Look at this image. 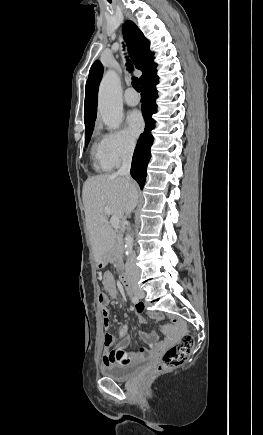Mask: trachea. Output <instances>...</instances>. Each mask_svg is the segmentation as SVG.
Instances as JSON below:
<instances>
[{"mask_svg":"<svg viewBox=\"0 0 263 435\" xmlns=\"http://www.w3.org/2000/svg\"><path fill=\"white\" fill-rule=\"evenodd\" d=\"M126 66H127V70L130 72V73H132L133 72V65H132V63L128 60L127 61V63H126ZM132 86H133V88L137 91V92H140L141 91V88H140V82H139V79L138 78H136V77H132Z\"/></svg>","mask_w":263,"mask_h":435,"instance_id":"trachea-1","label":"trachea"}]
</instances>
